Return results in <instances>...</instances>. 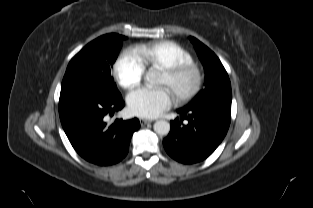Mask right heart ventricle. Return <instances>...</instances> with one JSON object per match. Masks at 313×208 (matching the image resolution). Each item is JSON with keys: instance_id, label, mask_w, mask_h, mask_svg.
I'll return each mask as SVG.
<instances>
[{"instance_id": "e07e8e85", "label": "right heart ventricle", "mask_w": 313, "mask_h": 208, "mask_svg": "<svg viewBox=\"0 0 313 208\" xmlns=\"http://www.w3.org/2000/svg\"><path fill=\"white\" fill-rule=\"evenodd\" d=\"M135 52L144 66L165 69L192 62V55L176 42L163 40L139 45Z\"/></svg>"}]
</instances>
